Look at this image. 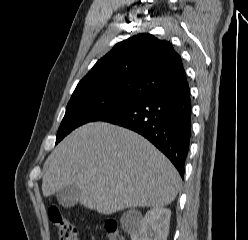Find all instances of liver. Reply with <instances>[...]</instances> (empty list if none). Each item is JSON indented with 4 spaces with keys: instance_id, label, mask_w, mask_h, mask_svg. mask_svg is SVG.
<instances>
[{
    "instance_id": "1",
    "label": "liver",
    "mask_w": 248,
    "mask_h": 240,
    "mask_svg": "<svg viewBox=\"0 0 248 240\" xmlns=\"http://www.w3.org/2000/svg\"><path fill=\"white\" fill-rule=\"evenodd\" d=\"M45 169L44 197L76 185L80 204L105 215L169 205L181 185L173 164L149 141L105 122L75 129L53 150Z\"/></svg>"
}]
</instances>
